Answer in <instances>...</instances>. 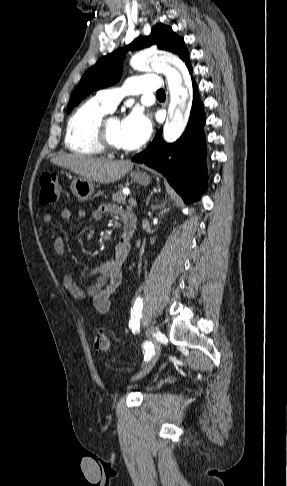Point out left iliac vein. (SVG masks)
<instances>
[{
	"mask_svg": "<svg viewBox=\"0 0 287 486\" xmlns=\"http://www.w3.org/2000/svg\"><path fill=\"white\" fill-rule=\"evenodd\" d=\"M163 338H164V335H163V334H162V333H161L159 330L154 332V337H153V339H152V340H153V343H154L155 348H156L157 357H158V355H159V353H160V348H161V345H160L159 340H160V339H163ZM150 369H151V368H148V369H146V370H144V371L140 372V373H139V374H137L135 377H133V379H132V380H137V379L142 378L143 376H145V375H146V374L149 372V370H150Z\"/></svg>",
	"mask_w": 287,
	"mask_h": 486,
	"instance_id": "left-iliac-vein-1",
	"label": "left iliac vein"
}]
</instances>
